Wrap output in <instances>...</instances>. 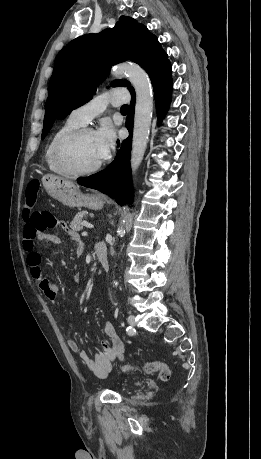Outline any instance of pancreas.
<instances>
[{
  "mask_svg": "<svg viewBox=\"0 0 261 459\" xmlns=\"http://www.w3.org/2000/svg\"><path fill=\"white\" fill-rule=\"evenodd\" d=\"M88 215L87 211H80L78 212L72 222L70 223V228L73 231H80L82 230V219ZM92 216V214H90Z\"/></svg>",
  "mask_w": 261,
  "mask_h": 459,
  "instance_id": "pancreas-1",
  "label": "pancreas"
}]
</instances>
